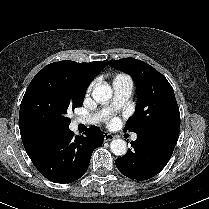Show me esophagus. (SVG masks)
Wrapping results in <instances>:
<instances>
[{"label": "esophagus", "mask_w": 209, "mask_h": 209, "mask_svg": "<svg viewBox=\"0 0 209 209\" xmlns=\"http://www.w3.org/2000/svg\"><path fill=\"white\" fill-rule=\"evenodd\" d=\"M103 139H104L105 142H109V141L114 139V136L112 134L106 133V134H104Z\"/></svg>", "instance_id": "34e87169"}]
</instances>
